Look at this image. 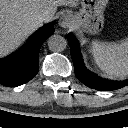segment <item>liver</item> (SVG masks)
Returning a JSON list of instances; mask_svg holds the SVG:
<instances>
[{
  "mask_svg": "<svg viewBox=\"0 0 128 128\" xmlns=\"http://www.w3.org/2000/svg\"><path fill=\"white\" fill-rule=\"evenodd\" d=\"M80 0H0V57L16 50L43 23L40 9L50 10L53 18L58 6L77 7Z\"/></svg>",
  "mask_w": 128,
  "mask_h": 128,
  "instance_id": "obj_1",
  "label": "liver"
}]
</instances>
